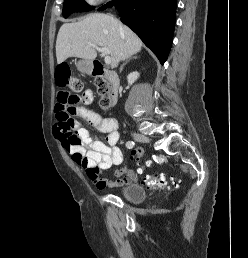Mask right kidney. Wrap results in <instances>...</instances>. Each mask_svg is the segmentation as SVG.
<instances>
[{
    "label": "right kidney",
    "mask_w": 248,
    "mask_h": 258,
    "mask_svg": "<svg viewBox=\"0 0 248 258\" xmlns=\"http://www.w3.org/2000/svg\"><path fill=\"white\" fill-rule=\"evenodd\" d=\"M139 77V73L138 72H132L128 75L127 77V80H128V83L131 85L133 84Z\"/></svg>",
    "instance_id": "right-kidney-1"
}]
</instances>
